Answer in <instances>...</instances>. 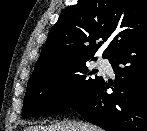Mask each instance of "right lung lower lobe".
<instances>
[{
	"mask_svg": "<svg viewBox=\"0 0 147 131\" xmlns=\"http://www.w3.org/2000/svg\"><path fill=\"white\" fill-rule=\"evenodd\" d=\"M115 83L101 78L72 106L88 122L106 131H147V36L109 58ZM108 88L113 89L107 94Z\"/></svg>",
	"mask_w": 147,
	"mask_h": 131,
	"instance_id": "right-lung-lower-lobe-1",
	"label": "right lung lower lobe"
}]
</instances>
